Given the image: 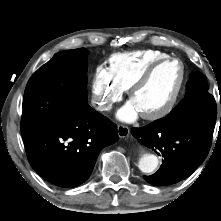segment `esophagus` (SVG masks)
Here are the masks:
<instances>
[{"label":"esophagus","mask_w":221,"mask_h":221,"mask_svg":"<svg viewBox=\"0 0 221 221\" xmlns=\"http://www.w3.org/2000/svg\"><path fill=\"white\" fill-rule=\"evenodd\" d=\"M117 132L120 138H126L130 134V129L124 125H118Z\"/></svg>","instance_id":"esophagus-1"}]
</instances>
